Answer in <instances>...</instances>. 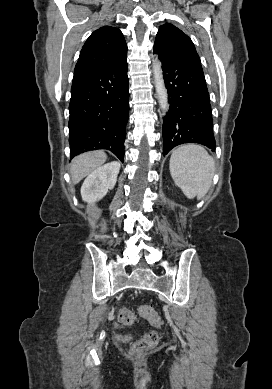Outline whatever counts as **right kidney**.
Masks as SVG:
<instances>
[{
  "label": "right kidney",
  "mask_w": 272,
  "mask_h": 389,
  "mask_svg": "<svg viewBox=\"0 0 272 389\" xmlns=\"http://www.w3.org/2000/svg\"><path fill=\"white\" fill-rule=\"evenodd\" d=\"M119 170L120 163L113 161L90 173L81 187L82 200L87 203L101 200L108 190L114 188Z\"/></svg>",
  "instance_id": "1"
}]
</instances>
